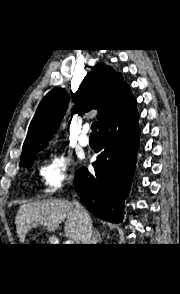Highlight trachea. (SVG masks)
Here are the masks:
<instances>
[{"label":"trachea","mask_w":180,"mask_h":294,"mask_svg":"<svg viewBox=\"0 0 180 294\" xmlns=\"http://www.w3.org/2000/svg\"><path fill=\"white\" fill-rule=\"evenodd\" d=\"M92 133L91 136H97V122H94L91 126Z\"/></svg>","instance_id":"3493384b"}]
</instances>
